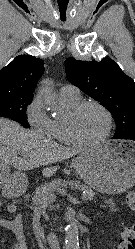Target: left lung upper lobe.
Here are the masks:
<instances>
[{
  "label": "left lung upper lobe",
  "instance_id": "1",
  "mask_svg": "<svg viewBox=\"0 0 135 249\" xmlns=\"http://www.w3.org/2000/svg\"><path fill=\"white\" fill-rule=\"evenodd\" d=\"M66 75L71 84L102 103L113 115L121 139L135 132V82L111 58L87 62L68 58Z\"/></svg>",
  "mask_w": 135,
  "mask_h": 249
}]
</instances>
